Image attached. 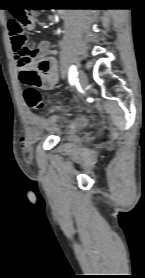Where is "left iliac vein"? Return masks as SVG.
Here are the masks:
<instances>
[{"mask_svg": "<svg viewBox=\"0 0 145 278\" xmlns=\"http://www.w3.org/2000/svg\"><path fill=\"white\" fill-rule=\"evenodd\" d=\"M78 79H79V83H80L81 88L83 90H86V86L88 84V77L83 70L79 71Z\"/></svg>", "mask_w": 145, "mask_h": 278, "instance_id": "4c4485c4", "label": "left iliac vein"}]
</instances>
